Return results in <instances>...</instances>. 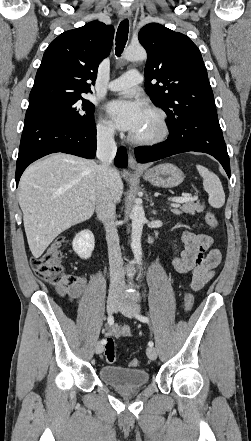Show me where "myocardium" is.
<instances>
[{
  "instance_id": "obj_1",
  "label": "myocardium",
  "mask_w": 251,
  "mask_h": 441,
  "mask_svg": "<svg viewBox=\"0 0 251 441\" xmlns=\"http://www.w3.org/2000/svg\"><path fill=\"white\" fill-rule=\"evenodd\" d=\"M147 110L157 117L159 132L156 135L147 138H139L131 134L129 136L130 141L141 146H153L162 143L168 138L170 133L168 118L164 110L156 106H149Z\"/></svg>"
}]
</instances>
